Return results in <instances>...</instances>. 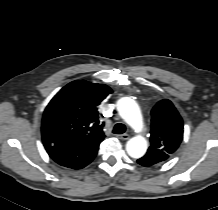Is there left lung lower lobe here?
I'll use <instances>...</instances> for the list:
<instances>
[{
    "label": "left lung lower lobe",
    "instance_id": "left-lung-lower-lobe-1",
    "mask_svg": "<svg viewBox=\"0 0 218 210\" xmlns=\"http://www.w3.org/2000/svg\"><path fill=\"white\" fill-rule=\"evenodd\" d=\"M137 162L143 166H149L147 161L143 158L138 159Z\"/></svg>",
    "mask_w": 218,
    "mask_h": 210
}]
</instances>
